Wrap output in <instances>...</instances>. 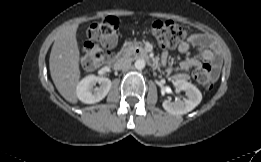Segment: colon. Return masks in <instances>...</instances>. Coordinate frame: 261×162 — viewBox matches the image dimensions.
I'll use <instances>...</instances> for the list:
<instances>
[{"label":"colon","mask_w":261,"mask_h":162,"mask_svg":"<svg viewBox=\"0 0 261 162\" xmlns=\"http://www.w3.org/2000/svg\"><path fill=\"white\" fill-rule=\"evenodd\" d=\"M118 27L119 20L116 17H107L90 25L87 31L89 42L84 48V59L89 65L100 64L105 55L104 50L115 45ZM152 33L161 45L174 47L186 37L187 31L173 21L157 20L152 25ZM195 79L207 91L214 87V77L206 68L198 69Z\"/></svg>","instance_id":"5ec220e1"}]
</instances>
